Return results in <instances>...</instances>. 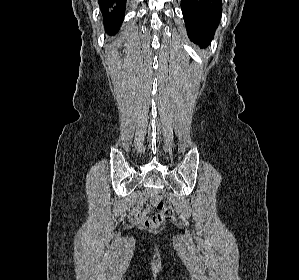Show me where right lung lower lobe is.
Instances as JSON below:
<instances>
[{
  "instance_id": "98d812e1",
  "label": "right lung lower lobe",
  "mask_w": 299,
  "mask_h": 280,
  "mask_svg": "<svg viewBox=\"0 0 299 280\" xmlns=\"http://www.w3.org/2000/svg\"><path fill=\"white\" fill-rule=\"evenodd\" d=\"M126 0H99L104 25L109 34L117 32L124 16ZM112 8V10H109Z\"/></svg>"
}]
</instances>
